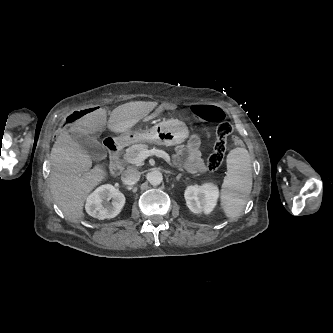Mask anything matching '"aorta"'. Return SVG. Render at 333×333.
<instances>
[{
  "label": "aorta",
  "mask_w": 333,
  "mask_h": 333,
  "mask_svg": "<svg viewBox=\"0 0 333 333\" xmlns=\"http://www.w3.org/2000/svg\"><path fill=\"white\" fill-rule=\"evenodd\" d=\"M147 180L151 185L157 186L163 181L162 173L158 170L151 171L147 175Z\"/></svg>",
  "instance_id": "762f6f07"
}]
</instances>
